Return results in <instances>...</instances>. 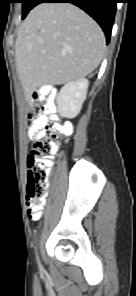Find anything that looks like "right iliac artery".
<instances>
[{
    "mask_svg": "<svg viewBox=\"0 0 136 296\" xmlns=\"http://www.w3.org/2000/svg\"><path fill=\"white\" fill-rule=\"evenodd\" d=\"M38 263H39V261H38ZM39 267H40V269L42 270V266L40 265V263H39Z\"/></svg>",
    "mask_w": 136,
    "mask_h": 296,
    "instance_id": "right-iliac-artery-1",
    "label": "right iliac artery"
}]
</instances>
